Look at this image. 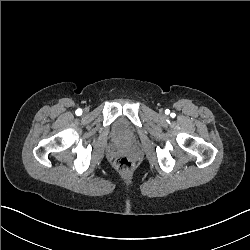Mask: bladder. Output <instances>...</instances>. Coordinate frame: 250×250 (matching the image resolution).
<instances>
[{
  "instance_id": "obj_1",
  "label": "bladder",
  "mask_w": 250,
  "mask_h": 250,
  "mask_svg": "<svg viewBox=\"0 0 250 250\" xmlns=\"http://www.w3.org/2000/svg\"><path fill=\"white\" fill-rule=\"evenodd\" d=\"M112 132L120 141H130L132 138V130L128 119L125 116L118 117L112 123Z\"/></svg>"
}]
</instances>
